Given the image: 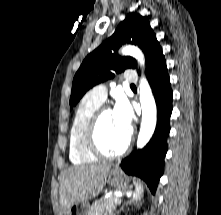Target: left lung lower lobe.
Listing matches in <instances>:
<instances>
[{
  "instance_id": "1",
  "label": "left lung lower lobe",
  "mask_w": 221,
  "mask_h": 215,
  "mask_svg": "<svg viewBox=\"0 0 221 215\" xmlns=\"http://www.w3.org/2000/svg\"><path fill=\"white\" fill-rule=\"evenodd\" d=\"M146 76L157 105L156 129L149 143L142 150L132 152L121 162L120 166L128 175L143 179L152 194H155L164 170L173 95L162 49L147 67Z\"/></svg>"
}]
</instances>
